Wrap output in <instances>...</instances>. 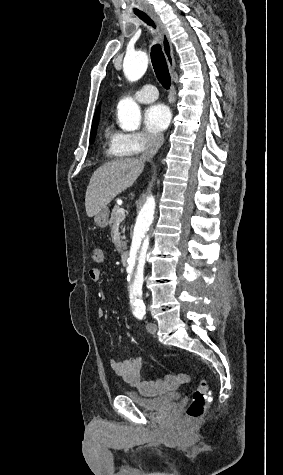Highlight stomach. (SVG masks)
<instances>
[{
    "label": "stomach",
    "mask_w": 283,
    "mask_h": 475,
    "mask_svg": "<svg viewBox=\"0 0 283 475\" xmlns=\"http://www.w3.org/2000/svg\"><path fill=\"white\" fill-rule=\"evenodd\" d=\"M109 214V208H102L101 212H99V214H96L94 218L96 226H99V228H106L109 222Z\"/></svg>",
    "instance_id": "0dacf381"
}]
</instances>
